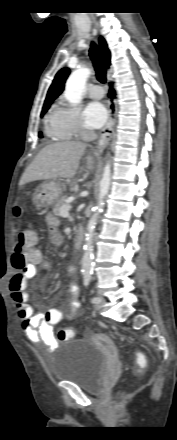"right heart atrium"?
Returning <instances> with one entry per match:
<instances>
[{
  "label": "right heart atrium",
  "instance_id": "right-heart-atrium-1",
  "mask_svg": "<svg viewBox=\"0 0 177 440\" xmlns=\"http://www.w3.org/2000/svg\"><path fill=\"white\" fill-rule=\"evenodd\" d=\"M54 110L59 128L67 138L80 136L87 131L80 108L77 105L61 98Z\"/></svg>",
  "mask_w": 177,
  "mask_h": 440
}]
</instances>
